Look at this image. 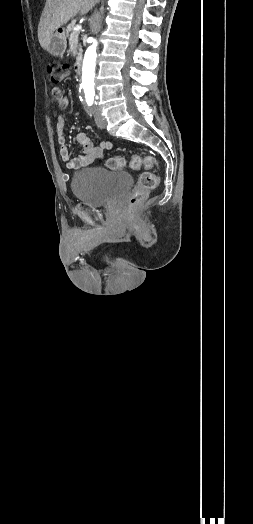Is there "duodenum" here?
Here are the masks:
<instances>
[{
	"mask_svg": "<svg viewBox=\"0 0 253 524\" xmlns=\"http://www.w3.org/2000/svg\"><path fill=\"white\" fill-rule=\"evenodd\" d=\"M82 69V61L81 59H78L75 63V72L80 73Z\"/></svg>",
	"mask_w": 253,
	"mask_h": 524,
	"instance_id": "1",
	"label": "duodenum"
}]
</instances>
